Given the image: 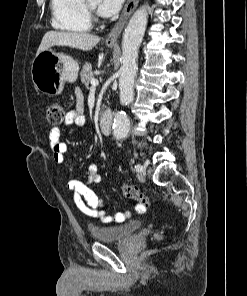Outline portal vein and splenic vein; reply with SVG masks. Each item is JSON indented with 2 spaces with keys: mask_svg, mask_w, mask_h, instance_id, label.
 I'll use <instances>...</instances> for the list:
<instances>
[{
  "mask_svg": "<svg viewBox=\"0 0 247 296\" xmlns=\"http://www.w3.org/2000/svg\"><path fill=\"white\" fill-rule=\"evenodd\" d=\"M90 83H91V88H96L99 85V81L96 78H92Z\"/></svg>",
  "mask_w": 247,
  "mask_h": 296,
  "instance_id": "18ae733b",
  "label": "portal vein and splenic vein"
}]
</instances>
